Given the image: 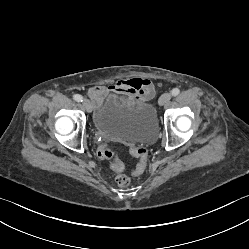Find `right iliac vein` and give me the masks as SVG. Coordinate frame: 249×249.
<instances>
[{"label":"right iliac vein","mask_w":249,"mask_h":249,"mask_svg":"<svg viewBox=\"0 0 249 249\" xmlns=\"http://www.w3.org/2000/svg\"><path fill=\"white\" fill-rule=\"evenodd\" d=\"M84 108L87 110V112H91L92 111V103L88 100V99H84L82 102Z\"/></svg>","instance_id":"right-iliac-vein-1"}]
</instances>
